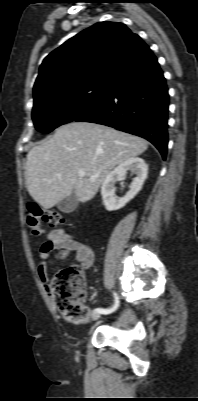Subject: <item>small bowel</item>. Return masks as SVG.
Here are the masks:
<instances>
[{"mask_svg":"<svg viewBox=\"0 0 198 401\" xmlns=\"http://www.w3.org/2000/svg\"><path fill=\"white\" fill-rule=\"evenodd\" d=\"M38 253L41 261L38 264L37 272L46 286L49 281V269L56 261L71 258L81 262L82 267L86 270L90 269L95 261L92 248L63 229L49 232Z\"/></svg>","mask_w":198,"mask_h":401,"instance_id":"small-bowel-1","label":"small bowel"}]
</instances>
